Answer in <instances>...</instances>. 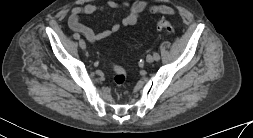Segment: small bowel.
I'll return each mask as SVG.
<instances>
[{
  "label": "small bowel",
  "mask_w": 253,
  "mask_h": 138,
  "mask_svg": "<svg viewBox=\"0 0 253 138\" xmlns=\"http://www.w3.org/2000/svg\"><path fill=\"white\" fill-rule=\"evenodd\" d=\"M106 7L113 9H126L127 14L122 19L121 23H115L109 29H105L100 32H96L92 28L82 23V15H91L94 13L103 12ZM145 12L163 15H175L176 13V11L170 6L149 3L144 0H139L134 3L108 0L105 6L86 4L73 8L69 16L68 24L72 31L82 34L89 42L95 43L117 33L122 26L129 27L135 25L140 16Z\"/></svg>",
  "instance_id": "small-bowel-1"
}]
</instances>
